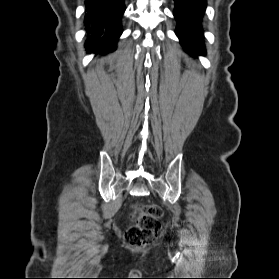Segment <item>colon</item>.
I'll return each instance as SVG.
<instances>
[{
    "mask_svg": "<svg viewBox=\"0 0 279 279\" xmlns=\"http://www.w3.org/2000/svg\"><path fill=\"white\" fill-rule=\"evenodd\" d=\"M163 210L153 203H138L131 214L125 242L133 249H142L155 241L159 235Z\"/></svg>",
    "mask_w": 279,
    "mask_h": 279,
    "instance_id": "obj_1",
    "label": "colon"
}]
</instances>
